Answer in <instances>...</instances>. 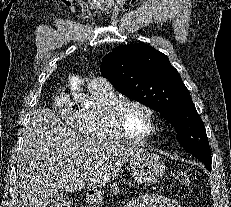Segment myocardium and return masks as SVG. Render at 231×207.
<instances>
[{
	"label": "myocardium",
	"instance_id": "obj_1",
	"mask_svg": "<svg viewBox=\"0 0 231 207\" xmlns=\"http://www.w3.org/2000/svg\"><path fill=\"white\" fill-rule=\"evenodd\" d=\"M128 105H137L143 108L149 115L151 121V131L145 137H134L126 129L123 122V111ZM109 121L116 133L124 140L141 144L146 143L154 138L158 130V118L154 109L147 103L134 99V98H124L118 99V101L112 106L109 111Z\"/></svg>",
	"mask_w": 231,
	"mask_h": 207
}]
</instances>
